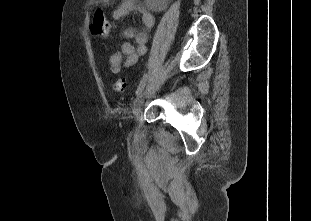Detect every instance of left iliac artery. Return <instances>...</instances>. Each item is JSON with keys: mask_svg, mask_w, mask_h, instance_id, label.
<instances>
[{"mask_svg": "<svg viewBox=\"0 0 311 221\" xmlns=\"http://www.w3.org/2000/svg\"><path fill=\"white\" fill-rule=\"evenodd\" d=\"M146 79H147V75L145 74L139 83V86L136 90V95H139L142 92V90L144 89L145 84H146Z\"/></svg>", "mask_w": 311, "mask_h": 221, "instance_id": "1", "label": "left iliac artery"}]
</instances>
